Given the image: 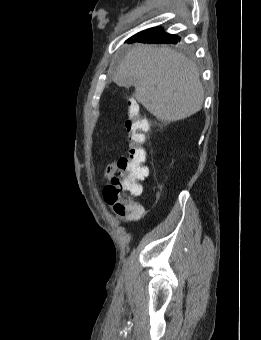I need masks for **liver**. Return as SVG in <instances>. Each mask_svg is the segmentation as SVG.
Instances as JSON below:
<instances>
[{"mask_svg":"<svg viewBox=\"0 0 261 340\" xmlns=\"http://www.w3.org/2000/svg\"><path fill=\"white\" fill-rule=\"evenodd\" d=\"M113 81L135 87V98L160 121L174 122L200 111L204 90L195 64L167 47L136 44L118 65Z\"/></svg>","mask_w":261,"mask_h":340,"instance_id":"liver-1","label":"liver"}]
</instances>
